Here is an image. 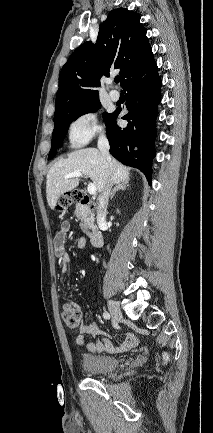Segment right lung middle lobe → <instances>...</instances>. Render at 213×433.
Instances as JSON below:
<instances>
[{"instance_id":"obj_1","label":"right lung middle lobe","mask_w":213,"mask_h":433,"mask_svg":"<svg viewBox=\"0 0 213 433\" xmlns=\"http://www.w3.org/2000/svg\"><path fill=\"white\" fill-rule=\"evenodd\" d=\"M101 108L98 98L91 99L72 108L64 110L58 117L54 118V130L52 134L51 149L48 155V160L56 155L57 148L61 147L62 141L65 138L67 128L73 120L90 112H96ZM111 114L104 113V121L107 123Z\"/></svg>"}]
</instances>
